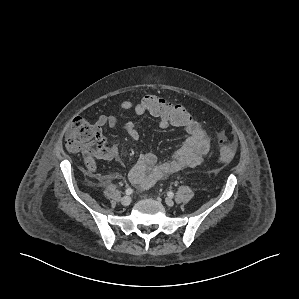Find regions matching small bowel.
<instances>
[{"label": "small bowel", "mask_w": 299, "mask_h": 299, "mask_svg": "<svg viewBox=\"0 0 299 299\" xmlns=\"http://www.w3.org/2000/svg\"><path fill=\"white\" fill-rule=\"evenodd\" d=\"M120 107L126 111H132L137 115L146 113L141 101L133 103L125 100L120 103ZM120 121L117 115H100L95 124L97 127H114ZM161 128H168L171 125L166 121L159 120ZM126 132L133 140L140 139V132L133 121H127L124 125ZM187 138L183 145L174 152L172 157L159 163L155 154L151 152L143 153L129 172V180L140 189H147L157 181L175 174L183 169L192 168L199 165L210 149V139L195 119L184 127ZM119 148L116 144L100 151L96 157L101 160L111 161L117 158Z\"/></svg>", "instance_id": "small-bowel-1"}]
</instances>
